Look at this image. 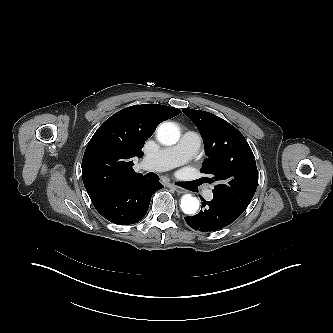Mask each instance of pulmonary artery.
<instances>
[{
    "instance_id": "e3ab8cb5",
    "label": "pulmonary artery",
    "mask_w": 333,
    "mask_h": 333,
    "mask_svg": "<svg viewBox=\"0 0 333 333\" xmlns=\"http://www.w3.org/2000/svg\"><path fill=\"white\" fill-rule=\"evenodd\" d=\"M202 142L200 134L194 131L185 132L180 141L172 147H167L146 156L142 161L145 169L165 171L188 161L199 149ZM207 200L213 198L211 190L205 192Z\"/></svg>"
}]
</instances>
